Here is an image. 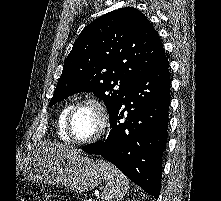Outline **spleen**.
<instances>
[{
    "label": "spleen",
    "mask_w": 221,
    "mask_h": 201,
    "mask_svg": "<svg viewBox=\"0 0 221 201\" xmlns=\"http://www.w3.org/2000/svg\"><path fill=\"white\" fill-rule=\"evenodd\" d=\"M97 163L100 165L106 180L101 195L102 201H120L129 188L128 179L110 162L99 159Z\"/></svg>",
    "instance_id": "obj_1"
}]
</instances>
